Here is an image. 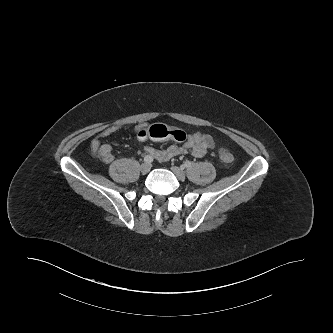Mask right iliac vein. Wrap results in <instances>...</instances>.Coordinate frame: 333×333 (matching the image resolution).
Here are the masks:
<instances>
[{
	"label": "right iliac vein",
	"mask_w": 333,
	"mask_h": 333,
	"mask_svg": "<svg viewBox=\"0 0 333 333\" xmlns=\"http://www.w3.org/2000/svg\"><path fill=\"white\" fill-rule=\"evenodd\" d=\"M151 169V165L150 163H143L141 166H140V171L143 173V174H147Z\"/></svg>",
	"instance_id": "1"
}]
</instances>
